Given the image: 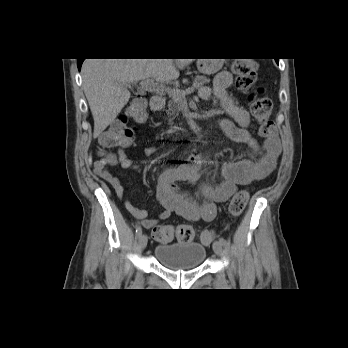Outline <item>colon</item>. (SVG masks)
<instances>
[{
    "instance_id": "colon-1",
    "label": "colon",
    "mask_w": 348,
    "mask_h": 348,
    "mask_svg": "<svg viewBox=\"0 0 348 348\" xmlns=\"http://www.w3.org/2000/svg\"><path fill=\"white\" fill-rule=\"evenodd\" d=\"M232 72L235 75L236 86L249 97L250 111L259 124L258 135L268 138L275 134L276 128L271 119L273 103L261 90L255 87L256 63L252 58H238L232 64ZM147 120L145 103L143 100H134L127 108L125 115L115 120L107 128L99 139L101 161L112 163L117 154L109 152L113 148H119L131 143L134 129L130 122L142 124ZM249 194L241 190L231 199L228 212L231 218L239 217L245 209ZM153 237L160 242L167 243L173 239L180 242H190L195 239L197 232L191 225L178 226L156 225L152 229ZM203 244H210L214 239L211 230H204L200 235Z\"/></svg>"
}]
</instances>
